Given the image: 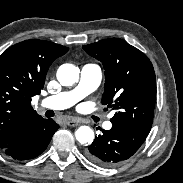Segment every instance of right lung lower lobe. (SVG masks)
Listing matches in <instances>:
<instances>
[{"label":"right lung lower lobe","mask_w":183,"mask_h":183,"mask_svg":"<svg viewBox=\"0 0 183 183\" xmlns=\"http://www.w3.org/2000/svg\"><path fill=\"white\" fill-rule=\"evenodd\" d=\"M59 125L41 116L24 122L12 140L1 149L13 159L28 160L39 156L48 146Z\"/></svg>","instance_id":"1"}]
</instances>
